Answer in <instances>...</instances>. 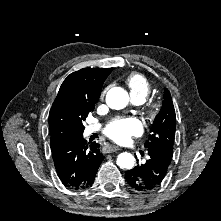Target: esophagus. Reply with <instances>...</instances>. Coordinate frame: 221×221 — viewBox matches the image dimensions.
I'll list each match as a JSON object with an SVG mask.
<instances>
[{
  "label": "esophagus",
  "mask_w": 221,
  "mask_h": 221,
  "mask_svg": "<svg viewBox=\"0 0 221 221\" xmlns=\"http://www.w3.org/2000/svg\"><path fill=\"white\" fill-rule=\"evenodd\" d=\"M104 149L106 150V152L112 153L118 151L120 148L118 146L108 144L104 147Z\"/></svg>",
  "instance_id": "obj_1"
}]
</instances>
